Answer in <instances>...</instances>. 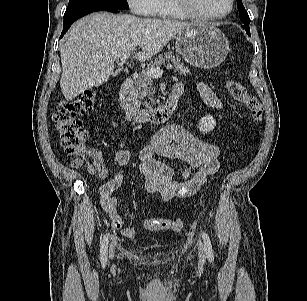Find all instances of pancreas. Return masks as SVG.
<instances>
[{
  "mask_svg": "<svg viewBox=\"0 0 307 301\" xmlns=\"http://www.w3.org/2000/svg\"><path fill=\"white\" fill-rule=\"evenodd\" d=\"M173 62L175 65V71H178L180 74L188 75L190 74V69L181 62V59L178 56L172 55L171 52H167L164 55H159L158 58H155L154 61L150 62L147 66V69L158 67L165 62ZM134 98L138 100L145 107L155 105V88L153 86L152 77L146 75L145 72L138 74L134 77Z\"/></svg>",
  "mask_w": 307,
  "mask_h": 301,
  "instance_id": "pancreas-1",
  "label": "pancreas"
}]
</instances>
